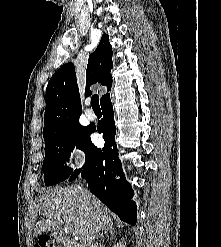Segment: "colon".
<instances>
[{
    "label": "colon",
    "mask_w": 221,
    "mask_h": 247,
    "mask_svg": "<svg viewBox=\"0 0 221 247\" xmlns=\"http://www.w3.org/2000/svg\"><path fill=\"white\" fill-rule=\"evenodd\" d=\"M35 247H57L50 239L39 242Z\"/></svg>",
    "instance_id": "colon-1"
}]
</instances>
